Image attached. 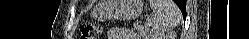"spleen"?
<instances>
[{"label":"spleen","instance_id":"1","mask_svg":"<svg viewBox=\"0 0 249 39\" xmlns=\"http://www.w3.org/2000/svg\"><path fill=\"white\" fill-rule=\"evenodd\" d=\"M153 15L149 20L156 39H161L181 20V12L172 0H150Z\"/></svg>","mask_w":249,"mask_h":39}]
</instances>
